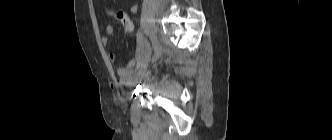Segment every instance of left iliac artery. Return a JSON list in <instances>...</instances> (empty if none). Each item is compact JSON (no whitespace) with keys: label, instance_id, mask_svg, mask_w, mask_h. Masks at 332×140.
Here are the masks:
<instances>
[{"label":"left iliac artery","instance_id":"left-iliac-artery-1","mask_svg":"<svg viewBox=\"0 0 332 140\" xmlns=\"http://www.w3.org/2000/svg\"><path fill=\"white\" fill-rule=\"evenodd\" d=\"M151 43H152L153 49L155 50L157 47V44H158V40H157V36L154 32L151 34Z\"/></svg>","mask_w":332,"mask_h":140}]
</instances>
